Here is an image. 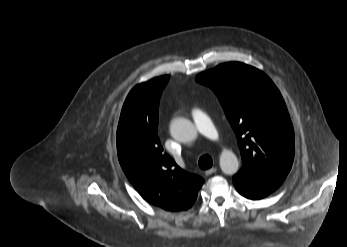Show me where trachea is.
Here are the masks:
<instances>
[{"label":"trachea","mask_w":347,"mask_h":247,"mask_svg":"<svg viewBox=\"0 0 347 247\" xmlns=\"http://www.w3.org/2000/svg\"><path fill=\"white\" fill-rule=\"evenodd\" d=\"M198 164L202 170H206L211 168L213 161L209 155H203L202 157H200Z\"/></svg>","instance_id":"trachea-1"}]
</instances>
